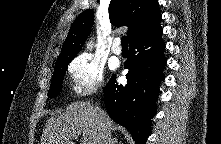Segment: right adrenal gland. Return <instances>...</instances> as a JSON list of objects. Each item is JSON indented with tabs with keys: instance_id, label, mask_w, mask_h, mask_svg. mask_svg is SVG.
I'll return each mask as SVG.
<instances>
[{
	"instance_id": "1",
	"label": "right adrenal gland",
	"mask_w": 221,
	"mask_h": 144,
	"mask_svg": "<svg viewBox=\"0 0 221 144\" xmlns=\"http://www.w3.org/2000/svg\"><path fill=\"white\" fill-rule=\"evenodd\" d=\"M110 144H121V142H118L117 138H112Z\"/></svg>"
}]
</instances>
